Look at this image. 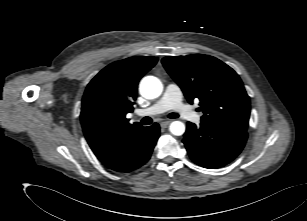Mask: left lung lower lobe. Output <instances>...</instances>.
Returning a JSON list of instances; mask_svg holds the SVG:
<instances>
[{
	"label": "left lung lower lobe",
	"mask_w": 307,
	"mask_h": 221,
	"mask_svg": "<svg viewBox=\"0 0 307 221\" xmlns=\"http://www.w3.org/2000/svg\"><path fill=\"white\" fill-rule=\"evenodd\" d=\"M247 131L222 125L188 122L183 143L196 164L211 169L233 161L242 151Z\"/></svg>",
	"instance_id": "left-lung-lower-lobe-1"
}]
</instances>
